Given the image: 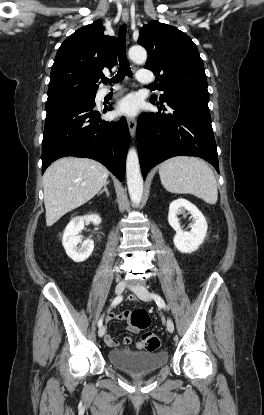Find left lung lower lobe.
<instances>
[{
	"instance_id": "obj_1",
	"label": "left lung lower lobe",
	"mask_w": 264,
	"mask_h": 415,
	"mask_svg": "<svg viewBox=\"0 0 264 415\" xmlns=\"http://www.w3.org/2000/svg\"><path fill=\"white\" fill-rule=\"evenodd\" d=\"M209 95L183 93L156 102L158 113H143L137 126L138 155L143 178L158 163L180 155L205 159L219 173L217 148L208 108Z\"/></svg>"
}]
</instances>
